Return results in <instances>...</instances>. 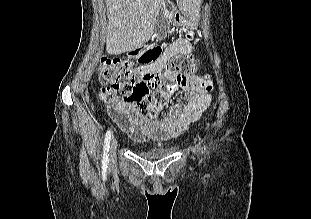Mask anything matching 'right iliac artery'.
I'll return each instance as SVG.
<instances>
[{
  "instance_id": "right-iliac-artery-1",
  "label": "right iliac artery",
  "mask_w": 311,
  "mask_h": 219,
  "mask_svg": "<svg viewBox=\"0 0 311 219\" xmlns=\"http://www.w3.org/2000/svg\"><path fill=\"white\" fill-rule=\"evenodd\" d=\"M111 135H112L111 130H108L106 132L105 141H104V152H103V160H102L103 167H107V165L109 163V159H108V154L107 153L109 151V144H110V140H111Z\"/></svg>"
}]
</instances>
